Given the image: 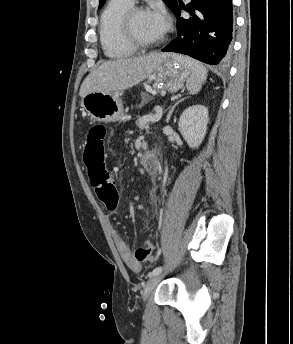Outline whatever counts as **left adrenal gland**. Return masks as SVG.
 Wrapping results in <instances>:
<instances>
[{"instance_id": "left-adrenal-gland-1", "label": "left adrenal gland", "mask_w": 293, "mask_h": 344, "mask_svg": "<svg viewBox=\"0 0 293 344\" xmlns=\"http://www.w3.org/2000/svg\"><path fill=\"white\" fill-rule=\"evenodd\" d=\"M184 100H185V99H181L180 101H178V102L169 110V113H168L167 119H166V122H167V123L169 122L170 117H171V115H172V113H173L175 107H176L180 102H182V101H184Z\"/></svg>"}]
</instances>
